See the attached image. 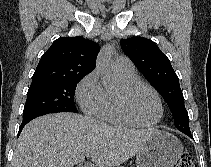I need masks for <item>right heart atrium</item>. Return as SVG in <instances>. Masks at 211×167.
Returning <instances> with one entry per match:
<instances>
[{
  "label": "right heart atrium",
  "mask_w": 211,
  "mask_h": 167,
  "mask_svg": "<svg viewBox=\"0 0 211 167\" xmlns=\"http://www.w3.org/2000/svg\"><path fill=\"white\" fill-rule=\"evenodd\" d=\"M77 101L87 115L101 118L106 109V92L96 71L87 74L76 88Z\"/></svg>",
  "instance_id": "d8ad5b80"
}]
</instances>
